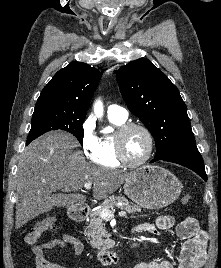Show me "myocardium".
<instances>
[{
	"instance_id": "1",
	"label": "myocardium",
	"mask_w": 221,
	"mask_h": 268,
	"mask_svg": "<svg viewBox=\"0 0 221 268\" xmlns=\"http://www.w3.org/2000/svg\"><path fill=\"white\" fill-rule=\"evenodd\" d=\"M131 129L142 130L148 138V150L145 156L141 160L136 161V162L130 161L126 157L125 151H124V137L126 133ZM114 141H115L116 157L118 161L122 165L131 167V168H136V167L144 165L151 158L154 152V148H155V140H154V136L151 130L145 125L141 123H136V122H127L119 126L116 133L114 134Z\"/></svg>"
}]
</instances>
